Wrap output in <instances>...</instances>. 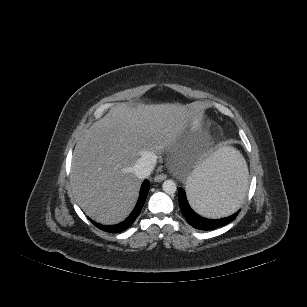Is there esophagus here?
<instances>
[{
    "label": "esophagus",
    "mask_w": 307,
    "mask_h": 307,
    "mask_svg": "<svg viewBox=\"0 0 307 307\" xmlns=\"http://www.w3.org/2000/svg\"><path fill=\"white\" fill-rule=\"evenodd\" d=\"M167 178L166 174H158L154 177V181L155 182H162L163 180H165Z\"/></svg>",
    "instance_id": "34e87169"
}]
</instances>
